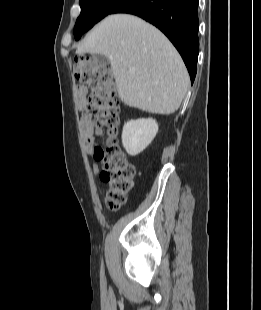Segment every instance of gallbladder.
Returning a JSON list of instances; mask_svg holds the SVG:
<instances>
[{
  "label": "gallbladder",
  "instance_id": "bac80fb5",
  "mask_svg": "<svg viewBox=\"0 0 261 310\" xmlns=\"http://www.w3.org/2000/svg\"><path fill=\"white\" fill-rule=\"evenodd\" d=\"M91 58L101 67H105L109 64V59L103 54H92Z\"/></svg>",
  "mask_w": 261,
  "mask_h": 310
}]
</instances>
